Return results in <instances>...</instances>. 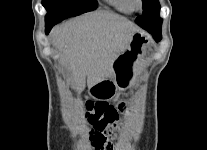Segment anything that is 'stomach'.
<instances>
[{"label":"stomach","mask_w":207,"mask_h":150,"mask_svg":"<svg viewBox=\"0 0 207 150\" xmlns=\"http://www.w3.org/2000/svg\"><path fill=\"white\" fill-rule=\"evenodd\" d=\"M148 39L141 31L135 32L129 47L120 53L113 63V77L89 87V94L95 99H110L117 89L126 87L134 74V68L145 54Z\"/></svg>","instance_id":"1"}]
</instances>
